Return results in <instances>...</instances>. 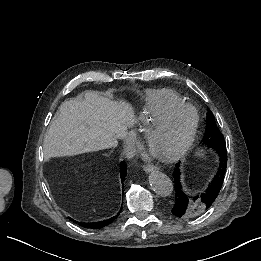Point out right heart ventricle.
I'll use <instances>...</instances> for the list:
<instances>
[{"label": "right heart ventricle", "instance_id": "right-heart-ventricle-1", "mask_svg": "<svg viewBox=\"0 0 261 261\" xmlns=\"http://www.w3.org/2000/svg\"><path fill=\"white\" fill-rule=\"evenodd\" d=\"M181 103H184L183 97L171 88L143 89L141 99L131 107L132 121L138 124L139 120L145 116L158 113L168 105Z\"/></svg>", "mask_w": 261, "mask_h": 261}]
</instances>
